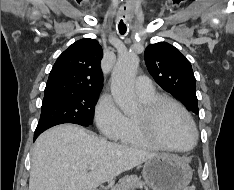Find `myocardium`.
Masks as SVG:
<instances>
[{"label":"myocardium","mask_w":234,"mask_h":190,"mask_svg":"<svg viewBox=\"0 0 234 190\" xmlns=\"http://www.w3.org/2000/svg\"><path fill=\"white\" fill-rule=\"evenodd\" d=\"M167 107H174L178 109L187 119L193 132L192 143L185 148H178L171 146L164 142V140L158 134V121L162 111ZM137 122L143 132V134L157 147L165 150L175 151V152H187L194 148L198 141V131L196 124L188 112V110L180 104L178 101L167 97L158 96L151 102L144 105L141 113L136 117Z\"/></svg>","instance_id":"myocardium-1"}]
</instances>
